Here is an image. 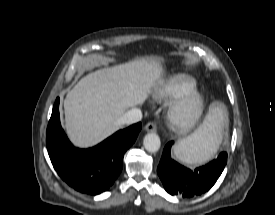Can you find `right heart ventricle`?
Here are the masks:
<instances>
[{
    "label": "right heart ventricle",
    "instance_id": "right-heart-ventricle-1",
    "mask_svg": "<svg viewBox=\"0 0 275 215\" xmlns=\"http://www.w3.org/2000/svg\"><path fill=\"white\" fill-rule=\"evenodd\" d=\"M196 89L197 82L194 78L185 74H178L164 83L158 92V99L163 101L176 100L184 94L196 91Z\"/></svg>",
    "mask_w": 275,
    "mask_h": 215
}]
</instances>
